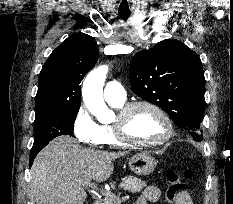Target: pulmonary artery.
<instances>
[{"instance_id": "1", "label": "pulmonary artery", "mask_w": 233, "mask_h": 204, "mask_svg": "<svg viewBox=\"0 0 233 204\" xmlns=\"http://www.w3.org/2000/svg\"><path fill=\"white\" fill-rule=\"evenodd\" d=\"M104 98L107 102H124L126 91L122 84L116 80L108 82L103 90Z\"/></svg>"}]
</instances>
